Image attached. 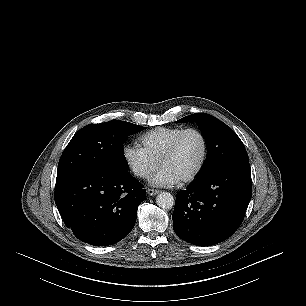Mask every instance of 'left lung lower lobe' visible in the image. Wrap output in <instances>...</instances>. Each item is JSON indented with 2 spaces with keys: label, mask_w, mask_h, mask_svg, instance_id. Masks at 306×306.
<instances>
[{
  "label": "left lung lower lobe",
  "mask_w": 306,
  "mask_h": 306,
  "mask_svg": "<svg viewBox=\"0 0 306 306\" xmlns=\"http://www.w3.org/2000/svg\"><path fill=\"white\" fill-rule=\"evenodd\" d=\"M251 196L249 164L225 166L198 176L176 195L173 229L188 243L218 244L239 228Z\"/></svg>",
  "instance_id": "0a47b994"
}]
</instances>
